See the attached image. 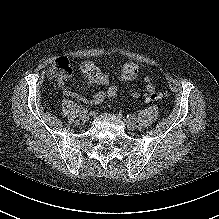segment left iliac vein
Returning <instances> with one entry per match:
<instances>
[{"label": "left iliac vein", "instance_id": "left-iliac-vein-1", "mask_svg": "<svg viewBox=\"0 0 219 219\" xmlns=\"http://www.w3.org/2000/svg\"><path fill=\"white\" fill-rule=\"evenodd\" d=\"M124 121H125V123H126V125H127V128L129 129V130H134V129H136V124H135V122H133L131 119H124Z\"/></svg>", "mask_w": 219, "mask_h": 219}]
</instances>
